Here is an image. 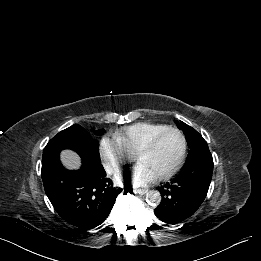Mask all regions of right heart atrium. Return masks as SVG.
Masks as SVG:
<instances>
[{
	"mask_svg": "<svg viewBox=\"0 0 261 261\" xmlns=\"http://www.w3.org/2000/svg\"><path fill=\"white\" fill-rule=\"evenodd\" d=\"M99 149L105 169L112 175L118 174L123 166L133 159V155L115 137H103L100 141Z\"/></svg>",
	"mask_w": 261,
	"mask_h": 261,
	"instance_id": "d8ad5b80",
	"label": "right heart atrium"
}]
</instances>
